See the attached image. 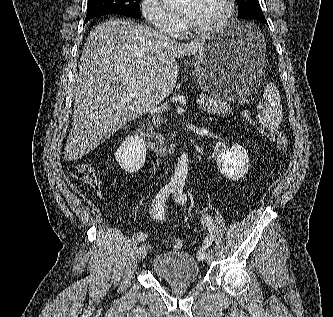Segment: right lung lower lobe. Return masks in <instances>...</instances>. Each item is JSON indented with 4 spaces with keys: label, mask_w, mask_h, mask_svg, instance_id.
I'll use <instances>...</instances> for the list:
<instances>
[{
    "label": "right lung lower lobe",
    "mask_w": 333,
    "mask_h": 317,
    "mask_svg": "<svg viewBox=\"0 0 333 317\" xmlns=\"http://www.w3.org/2000/svg\"><path fill=\"white\" fill-rule=\"evenodd\" d=\"M89 19H85V23L88 21Z\"/></svg>",
    "instance_id": "1"
}]
</instances>
